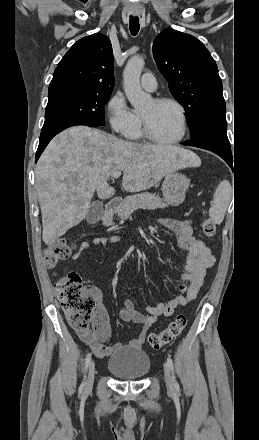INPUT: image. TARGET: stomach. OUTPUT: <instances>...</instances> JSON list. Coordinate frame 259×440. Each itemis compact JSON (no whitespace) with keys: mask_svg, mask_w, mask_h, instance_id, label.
Segmentation results:
<instances>
[{"mask_svg":"<svg viewBox=\"0 0 259 440\" xmlns=\"http://www.w3.org/2000/svg\"><path fill=\"white\" fill-rule=\"evenodd\" d=\"M189 185L190 179L183 174L176 172L166 174L162 183L164 200L171 206L180 205L185 199Z\"/></svg>","mask_w":259,"mask_h":440,"instance_id":"0dacf381","label":"stomach"}]
</instances>
